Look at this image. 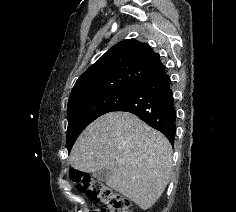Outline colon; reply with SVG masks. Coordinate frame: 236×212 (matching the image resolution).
I'll return each mask as SVG.
<instances>
[{"mask_svg":"<svg viewBox=\"0 0 236 212\" xmlns=\"http://www.w3.org/2000/svg\"><path fill=\"white\" fill-rule=\"evenodd\" d=\"M70 178L75 187L86 196L104 205L101 210L94 212H131L130 202L91 175L77 170L70 171Z\"/></svg>","mask_w":236,"mask_h":212,"instance_id":"5ec220e1","label":"colon"}]
</instances>
